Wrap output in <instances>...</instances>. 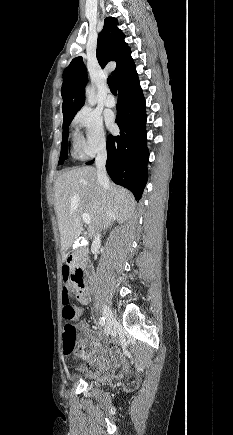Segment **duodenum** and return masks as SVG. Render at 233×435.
Here are the masks:
<instances>
[{"label": "duodenum", "instance_id": "1", "mask_svg": "<svg viewBox=\"0 0 233 435\" xmlns=\"http://www.w3.org/2000/svg\"><path fill=\"white\" fill-rule=\"evenodd\" d=\"M86 247H80L77 251H74L68 255L67 262L70 269L73 271L75 276L79 279L78 283H75L74 288L76 290V295L78 300L82 304L88 303L89 299L86 295V285L84 282L85 276L89 275L90 267L85 260Z\"/></svg>", "mask_w": 233, "mask_h": 435}]
</instances>
